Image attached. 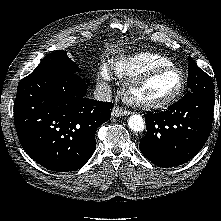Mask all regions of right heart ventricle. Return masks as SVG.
Returning a JSON list of instances; mask_svg holds the SVG:
<instances>
[{
    "label": "right heart ventricle",
    "mask_w": 221,
    "mask_h": 221,
    "mask_svg": "<svg viewBox=\"0 0 221 221\" xmlns=\"http://www.w3.org/2000/svg\"><path fill=\"white\" fill-rule=\"evenodd\" d=\"M171 65L172 61L160 54L139 52L117 57L112 62V69L118 77L129 79L149 69Z\"/></svg>",
    "instance_id": "e07e8e85"
}]
</instances>
